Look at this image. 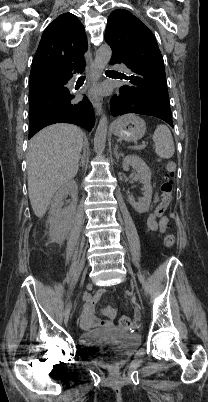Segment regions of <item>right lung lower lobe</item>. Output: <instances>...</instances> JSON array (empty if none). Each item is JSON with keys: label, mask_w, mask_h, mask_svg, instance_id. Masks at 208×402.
Segmentation results:
<instances>
[{"label": "right lung lower lobe", "mask_w": 208, "mask_h": 402, "mask_svg": "<svg viewBox=\"0 0 208 402\" xmlns=\"http://www.w3.org/2000/svg\"><path fill=\"white\" fill-rule=\"evenodd\" d=\"M83 65L77 72H83L85 60H82ZM70 79V78H69ZM67 78L57 76L31 78L29 80V90H39L46 87H56L67 89L65 85L69 81ZM68 90V89H67ZM57 97H63L55 107L49 108L46 112L41 113L35 120L30 122L29 139L42 128L55 123H71L91 131L95 124L94 111L92 104L85 96L78 103H74L73 95L69 93H60L53 90Z\"/></svg>", "instance_id": "1"}]
</instances>
